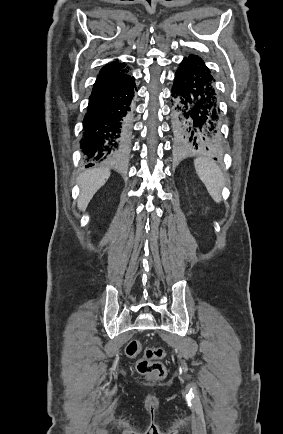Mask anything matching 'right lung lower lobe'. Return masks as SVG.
I'll use <instances>...</instances> for the list:
<instances>
[{"label": "right lung lower lobe", "instance_id": "obj_1", "mask_svg": "<svg viewBox=\"0 0 283 434\" xmlns=\"http://www.w3.org/2000/svg\"><path fill=\"white\" fill-rule=\"evenodd\" d=\"M136 90L131 77L118 86L92 92L83 119L80 146L89 162H117L127 152L130 137V105Z\"/></svg>", "mask_w": 283, "mask_h": 434}]
</instances>
